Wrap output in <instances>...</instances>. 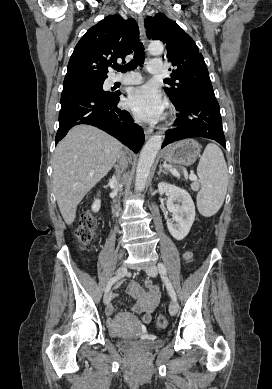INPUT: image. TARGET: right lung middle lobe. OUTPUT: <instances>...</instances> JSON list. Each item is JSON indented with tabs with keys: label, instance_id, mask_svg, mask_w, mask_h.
<instances>
[{
	"label": "right lung middle lobe",
	"instance_id": "right-lung-middle-lobe-1",
	"mask_svg": "<svg viewBox=\"0 0 272 389\" xmlns=\"http://www.w3.org/2000/svg\"><path fill=\"white\" fill-rule=\"evenodd\" d=\"M103 83H104V81L85 82V83H80V84H75V85L63 87V89H68V88L90 89V90L105 92L103 90Z\"/></svg>",
	"mask_w": 272,
	"mask_h": 389
}]
</instances>
